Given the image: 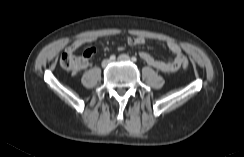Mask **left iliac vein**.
I'll use <instances>...</instances> for the list:
<instances>
[{"label": "left iliac vein", "mask_w": 244, "mask_h": 157, "mask_svg": "<svg viewBox=\"0 0 244 157\" xmlns=\"http://www.w3.org/2000/svg\"><path fill=\"white\" fill-rule=\"evenodd\" d=\"M119 61H130V57L126 54H122L118 57Z\"/></svg>", "instance_id": "1"}]
</instances>
